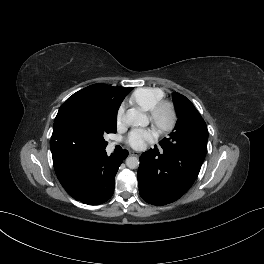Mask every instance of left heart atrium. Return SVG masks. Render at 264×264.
Here are the masks:
<instances>
[{
    "instance_id": "39dd6f15",
    "label": "left heart atrium",
    "mask_w": 264,
    "mask_h": 264,
    "mask_svg": "<svg viewBox=\"0 0 264 264\" xmlns=\"http://www.w3.org/2000/svg\"><path fill=\"white\" fill-rule=\"evenodd\" d=\"M155 133L150 129H134L128 136V144L135 149H142L154 141Z\"/></svg>"
}]
</instances>
